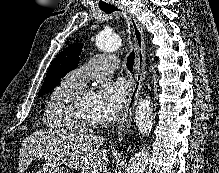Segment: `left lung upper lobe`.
Returning a JSON list of instances; mask_svg holds the SVG:
<instances>
[{
    "label": "left lung upper lobe",
    "mask_w": 219,
    "mask_h": 173,
    "mask_svg": "<svg viewBox=\"0 0 219 173\" xmlns=\"http://www.w3.org/2000/svg\"><path fill=\"white\" fill-rule=\"evenodd\" d=\"M82 44H71L60 52L49 66L44 83L38 96H42L52 90L60 82V79L78 66Z\"/></svg>",
    "instance_id": "5c2ea615"
}]
</instances>
